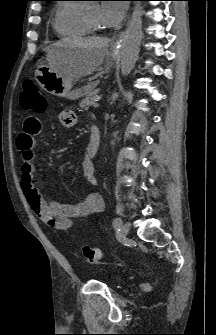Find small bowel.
<instances>
[{"label": "small bowel", "mask_w": 216, "mask_h": 335, "mask_svg": "<svg viewBox=\"0 0 216 335\" xmlns=\"http://www.w3.org/2000/svg\"><path fill=\"white\" fill-rule=\"evenodd\" d=\"M64 126L75 124V117L71 110L64 109L59 114ZM42 128V121L37 118H27L23 131L17 138V146L21 152V187L31 210L44 224L57 230H69L74 220L99 213L104 203L99 194H89L78 203H60L49 198L37 184L35 173V143ZM100 145L99 140H93L90 134L82 163L84 177L90 185L97 184L95 167L92 158L96 155Z\"/></svg>", "instance_id": "1"}]
</instances>
